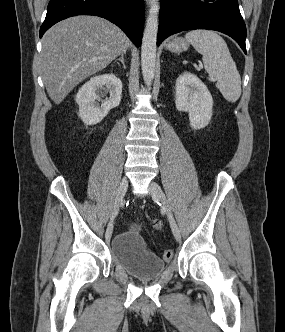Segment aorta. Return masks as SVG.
Instances as JSON below:
<instances>
[{"mask_svg":"<svg viewBox=\"0 0 285 332\" xmlns=\"http://www.w3.org/2000/svg\"><path fill=\"white\" fill-rule=\"evenodd\" d=\"M158 15L159 2L158 0H151L141 46L142 75L147 86L152 84L155 75Z\"/></svg>","mask_w":285,"mask_h":332,"instance_id":"1","label":"aorta"}]
</instances>
